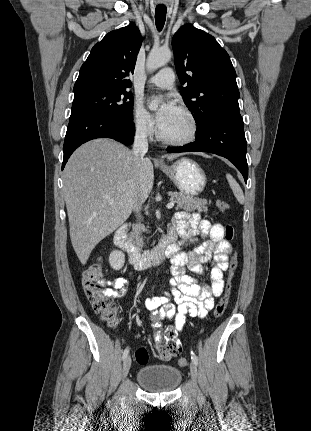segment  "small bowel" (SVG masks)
<instances>
[{
    "instance_id": "small-bowel-1",
    "label": "small bowel",
    "mask_w": 311,
    "mask_h": 431,
    "mask_svg": "<svg viewBox=\"0 0 311 431\" xmlns=\"http://www.w3.org/2000/svg\"><path fill=\"white\" fill-rule=\"evenodd\" d=\"M171 230L181 237V241L175 243L170 257L173 275L170 280L171 291L166 296L146 299L145 307L151 312L155 339L177 341L187 317L206 316L214 306V299L222 294L224 272L228 268L232 248L224 240L223 225L211 223L196 212H177ZM188 245H193V248L183 250ZM208 263L212 264L209 282H199L187 273L190 271L195 275H202ZM126 285L125 279L116 278L112 282V288L105 289L104 293L108 297H122L126 292ZM163 319L173 320V325L163 328Z\"/></svg>"
}]
</instances>
